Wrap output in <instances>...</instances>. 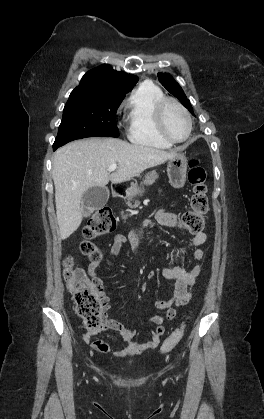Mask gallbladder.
I'll list each match as a JSON object with an SVG mask.
<instances>
[{
  "label": "gallbladder",
  "mask_w": 264,
  "mask_h": 419,
  "mask_svg": "<svg viewBox=\"0 0 264 419\" xmlns=\"http://www.w3.org/2000/svg\"><path fill=\"white\" fill-rule=\"evenodd\" d=\"M109 190L107 187H91L82 197L81 206L85 216H90L93 211L102 208L108 201Z\"/></svg>",
  "instance_id": "gallbladder-1"
}]
</instances>
